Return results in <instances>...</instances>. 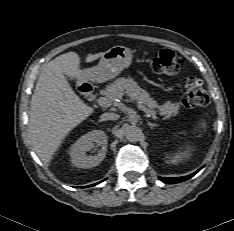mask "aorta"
<instances>
[{
	"label": "aorta",
	"instance_id": "1",
	"mask_svg": "<svg viewBox=\"0 0 234 231\" xmlns=\"http://www.w3.org/2000/svg\"><path fill=\"white\" fill-rule=\"evenodd\" d=\"M142 135L141 129L136 125L128 126L125 129V137L130 142H136Z\"/></svg>",
	"mask_w": 234,
	"mask_h": 231
}]
</instances>
